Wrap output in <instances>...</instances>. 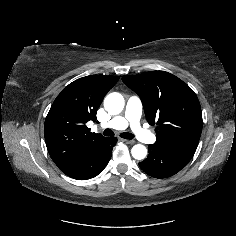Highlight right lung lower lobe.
I'll return each mask as SVG.
<instances>
[{
	"label": "right lung lower lobe",
	"mask_w": 236,
	"mask_h": 236,
	"mask_svg": "<svg viewBox=\"0 0 236 236\" xmlns=\"http://www.w3.org/2000/svg\"><path fill=\"white\" fill-rule=\"evenodd\" d=\"M116 142V137L103 139L75 168L65 174L77 180L97 176L109 162Z\"/></svg>",
	"instance_id": "obj_1"
}]
</instances>
